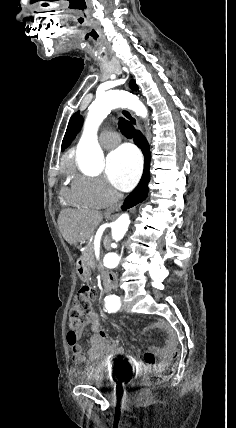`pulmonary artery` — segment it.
Here are the masks:
<instances>
[{
    "label": "pulmonary artery",
    "mask_w": 236,
    "mask_h": 428,
    "mask_svg": "<svg viewBox=\"0 0 236 428\" xmlns=\"http://www.w3.org/2000/svg\"><path fill=\"white\" fill-rule=\"evenodd\" d=\"M107 135H108V136H114V137H115V140H117V141H119V140H120V136H119V134H118V133H116V132H109ZM102 146H103L105 149H111V148H114L116 145H115V144H113V143H107V142H104V143L102 144Z\"/></svg>",
    "instance_id": "pulmonary-artery-1"
}]
</instances>
